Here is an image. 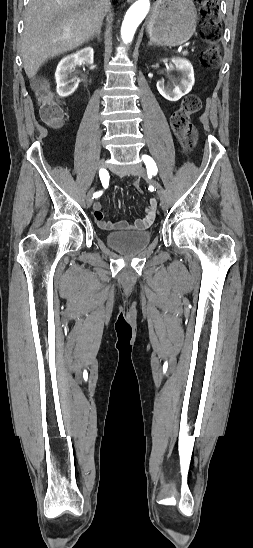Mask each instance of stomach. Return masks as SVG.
I'll return each mask as SVG.
<instances>
[{
	"instance_id": "stomach-1",
	"label": "stomach",
	"mask_w": 253,
	"mask_h": 548,
	"mask_svg": "<svg viewBox=\"0 0 253 548\" xmlns=\"http://www.w3.org/2000/svg\"><path fill=\"white\" fill-rule=\"evenodd\" d=\"M196 20L192 0H158L146 30L153 43L173 47L191 38Z\"/></svg>"
}]
</instances>
